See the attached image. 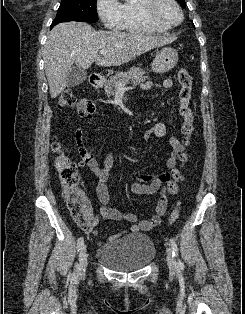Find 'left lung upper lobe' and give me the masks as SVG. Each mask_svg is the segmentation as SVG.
Here are the masks:
<instances>
[{"instance_id":"left-lung-upper-lobe-1","label":"left lung upper lobe","mask_w":245,"mask_h":314,"mask_svg":"<svg viewBox=\"0 0 245 314\" xmlns=\"http://www.w3.org/2000/svg\"><path fill=\"white\" fill-rule=\"evenodd\" d=\"M179 3H181L184 7H186V3H185V0H177ZM194 26V24H193Z\"/></svg>"}]
</instances>
